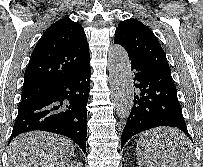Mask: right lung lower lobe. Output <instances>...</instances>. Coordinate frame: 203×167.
Returning a JSON list of instances; mask_svg holds the SVG:
<instances>
[{
    "mask_svg": "<svg viewBox=\"0 0 203 167\" xmlns=\"http://www.w3.org/2000/svg\"><path fill=\"white\" fill-rule=\"evenodd\" d=\"M89 61L60 81L48 94L19 103L9 142L21 133L42 130L67 136L86 152Z\"/></svg>",
    "mask_w": 203,
    "mask_h": 167,
    "instance_id": "right-lung-lower-lobe-1",
    "label": "right lung lower lobe"
}]
</instances>
